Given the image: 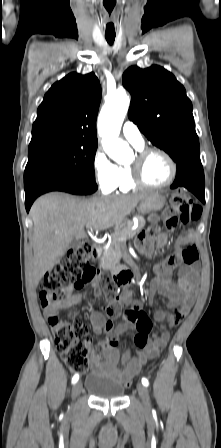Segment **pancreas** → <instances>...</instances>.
Instances as JSON below:
<instances>
[{
    "label": "pancreas",
    "instance_id": "cf45deb5",
    "mask_svg": "<svg viewBox=\"0 0 221 448\" xmlns=\"http://www.w3.org/2000/svg\"><path fill=\"white\" fill-rule=\"evenodd\" d=\"M138 222L139 225L134 231L126 229L132 225L127 223L122 230L112 234L111 243L108 248L104 249L103 257L100 259V266L103 269H108L112 272L118 269L117 265L123 257V254L126 252V240L139 233L145 225V220L143 217H138Z\"/></svg>",
    "mask_w": 221,
    "mask_h": 448
}]
</instances>
